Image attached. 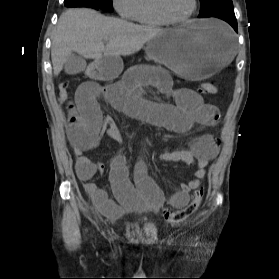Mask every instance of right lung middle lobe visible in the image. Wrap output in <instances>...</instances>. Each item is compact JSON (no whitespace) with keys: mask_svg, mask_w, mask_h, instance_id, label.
<instances>
[{"mask_svg":"<svg viewBox=\"0 0 279 279\" xmlns=\"http://www.w3.org/2000/svg\"><path fill=\"white\" fill-rule=\"evenodd\" d=\"M92 3L96 4L100 9L108 12L113 11L112 0H90Z\"/></svg>","mask_w":279,"mask_h":279,"instance_id":"dd1d6c3e","label":"right lung middle lobe"}]
</instances>
